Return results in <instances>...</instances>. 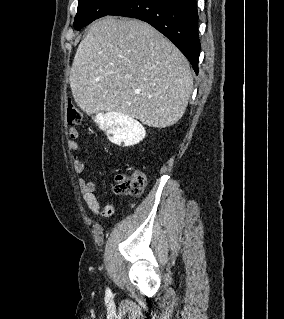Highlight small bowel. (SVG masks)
<instances>
[{
  "mask_svg": "<svg viewBox=\"0 0 284 319\" xmlns=\"http://www.w3.org/2000/svg\"><path fill=\"white\" fill-rule=\"evenodd\" d=\"M68 133L70 135V139L68 141V149L72 153H78L80 151V145L76 140L78 137V131L75 128L70 127L68 128ZM72 163L75 173L80 174L83 172L84 164L77 156L74 155L72 157ZM78 185L82 198L88 205L92 214L100 215L102 217H109L114 213L113 204L107 203L104 206L100 205V202L96 196V184L93 181L79 179Z\"/></svg>",
  "mask_w": 284,
  "mask_h": 319,
  "instance_id": "1",
  "label": "small bowel"
}]
</instances>
